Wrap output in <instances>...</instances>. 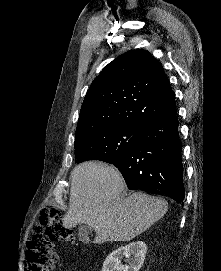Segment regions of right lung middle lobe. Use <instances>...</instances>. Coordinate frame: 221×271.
I'll use <instances>...</instances> for the list:
<instances>
[{"mask_svg": "<svg viewBox=\"0 0 221 271\" xmlns=\"http://www.w3.org/2000/svg\"><path fill=\"white\" fill-rule=\"evenodd\" d=\"M143 130L137 126L116 125L75 138L76 162L100 160L112 164L136 145Z\"/></svg>", "mask_w": 221, "mask_h": 271, "instance_id": "dd1d6c3e", "label": "right lung middle lobe"}]
</instances>
